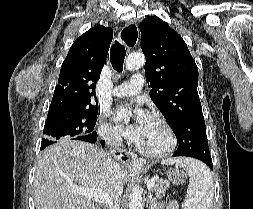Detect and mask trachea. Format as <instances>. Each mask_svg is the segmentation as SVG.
<instances>
[{
  "label": "trachea",
  "mask_w": 253,
  "mask_h": 209,
  "mask_svg": "<svg viewBox=\"0 0 253 209\" xmlns=\"http://www.w3.org/2000/svg\"><path fill=\"white\" fill-rule=\"evenodd\" d=\"M125 55V47L118 41H115V44L110 49V61L113 69L117 72H121L123 70Z\"/></svg>",
  "instance_id": "1"
}]
</instances>
